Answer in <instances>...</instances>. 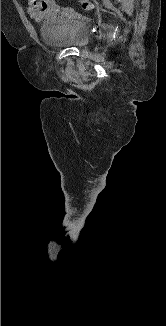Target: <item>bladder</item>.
Here are the masks:
<instances>
[{
    "instance_id": "obj_1",
    "label": "bladder",
    "mask_w": 166,
    "mask_h": 326,
    "mask_svg": "<svg viewBox=\"0 0 166 326\" xmlns=\"http://www.w3.org/2000/svg\"><path fill=\"white\" fill-rule=\"evenodd\" d=\"M44 43L55 48H84L88 45L90 31L77 17L55 15L40 25Z\"/></svg>"
}]
</instances>
